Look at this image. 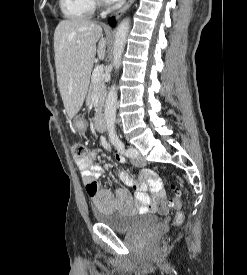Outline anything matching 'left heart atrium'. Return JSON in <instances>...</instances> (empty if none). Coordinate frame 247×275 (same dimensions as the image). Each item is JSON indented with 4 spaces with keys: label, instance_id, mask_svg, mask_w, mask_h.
<instances>
[{
    "label": "left heart atrium",
    "instance_id": "39dd6f15",
    "mask_svg": "<svg viewBox=\"0 0 247 275\" xmlns=\"http://www.w3.org/2000/svg\"><path fill=\"white\" fill-rule=\"evenodd\" d=\"M111 1H119V0H111Z\"/></svg>",
    "mask_w": 247,
    "mask_h": 275
}]
</instances>
